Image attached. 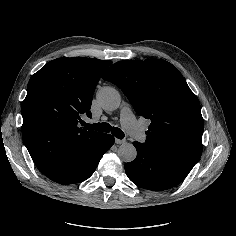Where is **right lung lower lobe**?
Returning <instances> with one entry per match:
<instances>
[{
  "mask_svg": "<svg viewBox=\"0 0 236 236\" xmlns=\"http://www.w3.org/2000/svg\"><path fill=\"white\" fill-rule=\"evenodd\" d=\"M113 143V136L100 133L73 148L58 169L48 178L60 184H73L86 180L93 174L101 157Z\"/></svg>",
  "mask_w": 236,
  "mask_h": 236,
  "instance_id": "right-lung-lower-lobe-1",
  "label": "right lung lower lobe"
}]
</instances>
